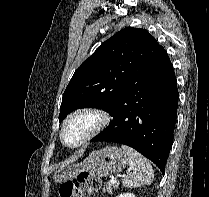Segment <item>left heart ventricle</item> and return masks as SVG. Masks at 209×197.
<instances>
[{"label":"left heart ventricle","mask_w":209,"mask_h":197,"mask_svg":"<svg viewBox=\"0 0 209 197\" xmlns=\"http://www.w3.org/2000/svg\"><path fill=\"white\" fill-rule=\"evenodd\" d=\"M96 119L91 115H81L74 119L64 131L67 144L78 142L82 136L94 125Z\"/></svg>","instance_id":"b2bd125f"}]
</instances>
